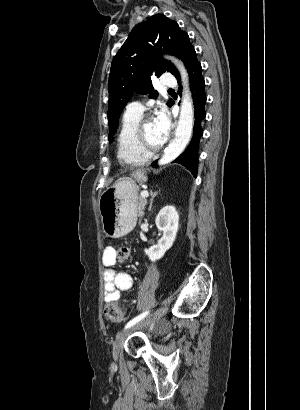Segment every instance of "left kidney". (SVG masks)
<instances>
[{
    "instance_id": "5707ae66",
    "label": "left kidney",
    "mask_w": 300,
    "mask_h": 410,
    "mask_svg": "<svg viewBox=\"0 0 300 410\" xmlns=\"http://www.w3.org/2000/svg\"><path fill=\"white\" fill-rule=\"evenodd\" d=\"M155 223L157 228L163 231V236L156 245L145 249L146 255L152 262L161 259L172 247L179 228V214L174 206H165L156 216Z\"/></svg>"
}]
</instances>
